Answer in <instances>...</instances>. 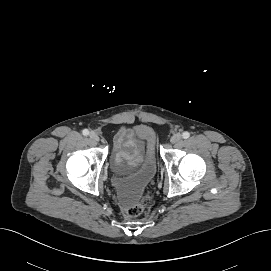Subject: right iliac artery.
<instances>
[{"label": "right iliac artery", "mask_w": 271, "mask_h": 271, "mask_svg": "<svg viewBox=\"0 0 271 271\" xmlns=\"http://www.w3.org/2000/svg\"><path fill=\"white\" fill-rule=\"evenodd\" d=\"M82 133H83L84 136H88L89 135V131L87 129H84L82 131Z\"/></svg>", "instance_id": "1"}]
</instances>
